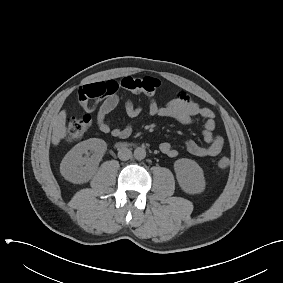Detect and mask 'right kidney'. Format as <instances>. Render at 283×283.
<instances>
[{"label":"right kidney","mask_w":283,"mask_h":283,"mask_svg":"<svg viewBox=\"0 0 283 283\" xmlns=\"http://www.w3.org/2000/svg\"><path fill=\"white\" fill-rule=\"evenodd\" d=\"M106 150L107 144L102 139L82 141L65 155L60 164V173L72 183H86L92 178Z\"/></svg>","instance_id":"1"}]
</instances>
